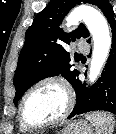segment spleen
<instances>
[{
    "mask_svg": "<svg viewBox=\"0 0 116 134\" xmlns=\"http://www.w3.org/2000/svg\"><path fill=\"white\" fill-rule=\"evenodd\" d=\"M86 119L95 127L96 134H113L115 120L106 112H93L86 115Z\"/></svg>",
    "mask_w": 116,
    "mask_h": 134,
    "instance_id": "spleen-1",
    "label": "spleen"
}]
</instances>
